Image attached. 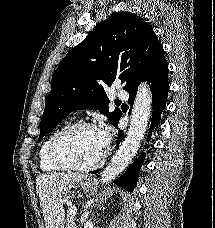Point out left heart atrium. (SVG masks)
<instances>
[{
    "instance_id": "obj_1",
    "label": "left heart atrium",
    "mask_w": 215,
    "mask_h": 228,
    "mask_svg": "<svg viewBox=\"0 0 215 228\" xmlns=\"http://www.w3.org/2000/svg\"><path fill=\"white\" fill-rule=\"evenodd\" d=\"M98 134H99V139H100L102 146L104 148H106L112 138L110 127L106 126L105 128L98 130Z\"/></svg>"
}]
</instances>
